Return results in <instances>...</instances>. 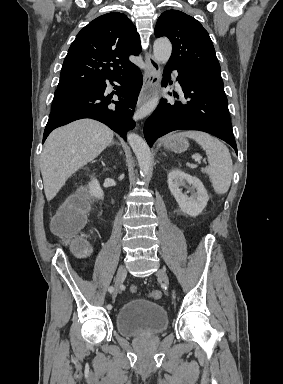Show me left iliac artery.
Masks as SVG:
<instances>
[{
  "label": "left iliac artery",
  "instance_id": "44dca946",
  "mask_svg": "<svg viewBox=\"0 0 283 384\" xmlns=\"http://www.w3.org/2000/svg\"><path fill=\"white\" fill-rule=\"evenodd\" d=\"M173 297L175 298V293H173Z\"/></svg>",
  "mask_w": 283,
  "mask_h": 384
}]
</instances>
